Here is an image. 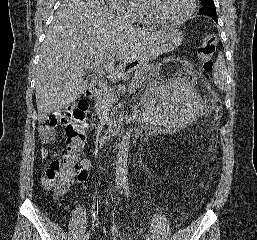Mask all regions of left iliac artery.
Returning a JSON list of instances; mask_svg holds the SVG:
<instances>
[{"label": "left iliac artery", "instance_id": "1", "mask_svg": "<svg viewBox=\"0 0 257 240\" xmlns=\"http://www.w3.org/2000/svg\"><path fill=\"white\" fill-rule=\"evenodd\" d=\"M122 185H123V189H124V191H125V194L127 195V197H129L130 191H129L128 182H127L126 180H124L123 183H122ZM146 240H150L148 235H146Z\"/></svg>", "mask_w": 257, "mask_h": 240}]
</instances>
